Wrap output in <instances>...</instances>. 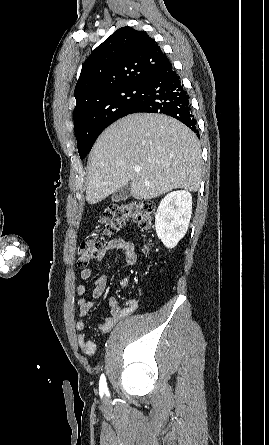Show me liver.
Returning a JSON list of instances; mask_svg holds the SVG:
<instances>
[{
    "mask_svg": "<svg viewBox=\"0 0 269 445\" xmlns=\"http://www.w3.org/2000/svg\"><path fill=\"white\" fill-rule=\"evenodd\" d=\"M201 165L200 142L184 124L161 114L128 115L104 130L90 152L86 201L101 202L129 181L138 200L176 188L196 192Z\"/></svg>",
    "mask_w": 269,
    "mask_h": 445,
    "instance_id": "obj_1",
    "label": "liver"
}]
</instances>
